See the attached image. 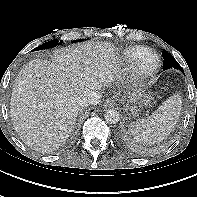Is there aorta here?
I'll use <instances>...</instances> for the list:
<instances>
[{
  "instance_id": "aorta-1",
  "label": "aorta",
  "mask_w": 197,
  "mask_h": 197,
  "mask_svg": "<svg viewBox=\"0 0 197 197\" xmlns=\"http://www.w3.org/2000/svg\"><path fill=\"white\" fill-rule=\"evenodd\" d=\"M104 118L107 123L116 124L119 121V112L115 109H108L104 114Z\"/></svg>"
}]
</instances>
